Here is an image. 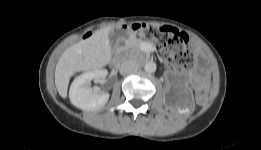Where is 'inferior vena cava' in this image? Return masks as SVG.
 Masks as SVG:
<instances>
[{
    "label": "inferior vena cava",
    "instance_id": "inferior-vena-cava-1",
    "mask_svg": "<svg viewBox=\"0 0 261 150\" xmlns=\"http://www.w3.org/2000/svg\"><path fill=\"white\" fill-rule=\"evenodd\" d=\"M138 68V65L133 61H124L119 66V71L121 74L125 75L132 71H135Z\"/></svg>",
    "mask_w": 261,
    "mask_h": 150
}]
</instances>
